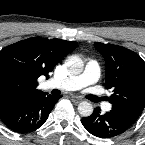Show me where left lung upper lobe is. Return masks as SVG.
<instances>
[{"label":"left lung upper lobe","instance_id":"left-lung-upper-lobe-1","mask_svg":"<svg viewBox=\"0 0 145 145\" xmlns=\"http://www.w3.org/2000/svg\"><path fill=\"white\" fill-rule=\"evenodd\" d=\"M106 63L107 89L113 94L111 114L129 127L145 107V62L135 52L113 44L94 43Z\"/></svg>","mask_w":145,"mask_h":145}]
</instances>
